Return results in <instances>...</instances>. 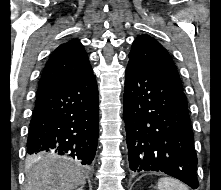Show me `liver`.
Listing matches in <instances>:
<instances>
[{
	"label": "liver",
	"instance_id": "obj_1",
	"mask_svg": "<svg viewBox=\"0 0 221 190\" xmlns=\"http://www.w3.org/2000/svg\"><path fill=\"white\" fill-rule=\"evenodd\" d=\"M32 158L27 166L24 190H74L85 184V176L79 168L60 159Z\"/></svg>",
	"mask_w": 221,
	"mask_h": 190
}]
</instances>
